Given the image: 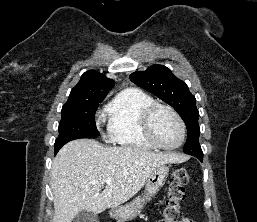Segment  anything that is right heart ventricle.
Listing matches in <instances>:
<instances>
[{"instance_id": "obj_1", "label": "right heart ventricle", "mask_w": 257, "mask_h": 222, "mask_svg": "<svg viewBox=\"0 0 257 222\" xmlns=\"http://www.w3.org/2000/svg\"><path fill=\"white\" fill-rule=\"evenodd\" d=\"M154 103L149 94L139 89H126L117 94L105 107L110 139L126 148L154 149L141 127L143 113Z\"/></svg>"}]
</instances>
